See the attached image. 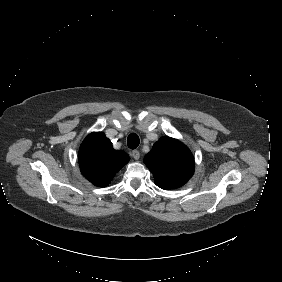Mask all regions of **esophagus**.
I'll use <instances>...</instances> for the list:
<instances>
[{"label":"esophagus","mask_w":282,"mask_h":282,"mask_svg":"<svg viewBox=\"0 0 282 282\" xmlns=\"http://www.w3.org/2000/svg\"><path fill=\"white\" fill-rule=\"evenodd\" d=\"M132 156L135 160H138L140 158V153L138 150H133L132 151Z\"/></svg>","instance_id":"1"}]
</instances>
